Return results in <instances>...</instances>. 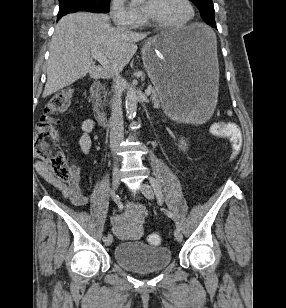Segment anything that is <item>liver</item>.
Listing matches in <instances>:
<instances>
[{
  "label": "liver",
  "instance_id": "1",
  "mask_svg": "<svg viewBox=\"0 0 286 308\" xmlns=\"http://www.w3.org/2000/svg\"><path fill=\"white\" fill-rule=\"evenodd\" d=\"M147 35L111 27L110 18L105 14L78 12L65 15L55 26L51 39L47 82L42 97L60 91L87 74L100 79L119 73L136 53V43ZM92 51L105 55L108 69L92 64Z\"/></svg>",
  "mask_w": 286,
  "mask_h": 308
}]
</instances>
